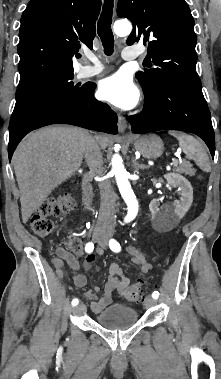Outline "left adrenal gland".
<instances>
[{
	"label": "left adrenal gland",
	"mask_w": 221,
	"mask_h": 379,
	"mask_svg": "<svg viewBox=\"0 0 221 379\" xmlns=\"http://www.w3.org/2000/svg\"><path fill=\"white\" fill-rule=\"evenodd\" d=\"M132 167L135 169V170H140V169H145L146 166L143 165V164H139L136 159H132Z\"/></svg>",
	"instance_id": "1"
}]
</instances>
